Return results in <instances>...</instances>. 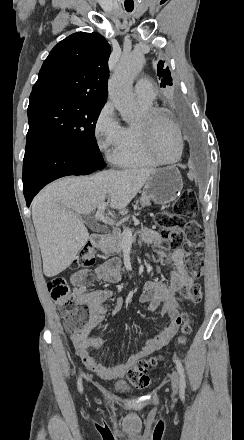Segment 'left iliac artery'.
Returning <instances> with one entry per match:
<instances>
[{"instance_id": "obj_1", "label": "left iliac artery", "mask_w": 244, "mask_h": 440, "mask_svg": "<svg viewBox=\"0 0 244 440\" xmlns=\"http://www.w3.org/2000/svg\"><path fill=\"white\" fill-rule=\"evenodd\" d=\"M174 362L176 364L177 371L180 376V390L185 391L186 388V380H185V372L182 363L179 359L175 358Z\"/></svg>"}]
</instances>
